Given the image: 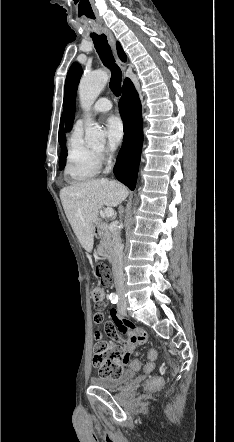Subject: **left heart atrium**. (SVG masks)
Wrapping results in <instances>:
<instances>
[{
  "label": "left heart atrium",
  "instance_id": "left-heart-atrium-1",
  "mask_svg": "<svg viewBox=\"0 0 234 442\" xmlns=\"http://www.w3.org/2000/svg\"><path fill=\"white\" fill-rule=\"evenodd\" d=\"M106 133L109 141V147L114 149L121 143L124 137V126L121 119L112 115L106 120Z\"/></svg>",
  "mask_w": 234,
  "mask_h": 442
}]
</instances>
